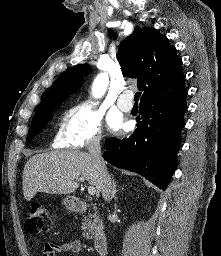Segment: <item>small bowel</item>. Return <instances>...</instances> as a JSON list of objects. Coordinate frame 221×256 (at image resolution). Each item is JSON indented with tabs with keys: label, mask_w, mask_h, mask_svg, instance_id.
I'll list each match as a JSON object with an SVG mask.
<instances>
[{
	"label": "small bowel",
	"mask_w": 221,
	"mask_h": 256,
	"mask_svg": "<svg viewBox=\"0 0 221 256\" xmlns=\"http://www.w3.org/2000/svg\"><path fill=\"white\" fill-rule=\"evenodd\" d=\"M83 244L80 240L73 239L61 244L45 243L42 256H55L57 252L78 254L82 251Z\"/></svg>",
	"instance_id": "c3829d8e"
}]
</instances>
